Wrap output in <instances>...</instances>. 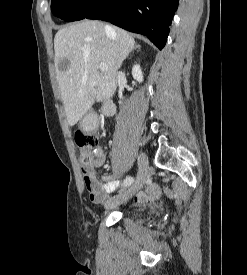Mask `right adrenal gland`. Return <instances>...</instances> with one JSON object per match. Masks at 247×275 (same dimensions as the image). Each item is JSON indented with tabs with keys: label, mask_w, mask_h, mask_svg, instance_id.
Listing matches in <instances>:
<instances>
[{
	"label": "right adrenal gland",
	"mask_w": 247,
	"mask_h": 275,
	"mask_svg": "<svg viewBox=\"0 0 247 275\" xmlns=\"http://www.w3.org/2000/svg\"><path fill=\"white\" fill-rule=\"evenodd\" d=\"M136 48H137V50H139V49H140V46L138 45Z\"/></svg>",
	"instance_id": "right-adrenal-gland-1"
}]
</instances>
